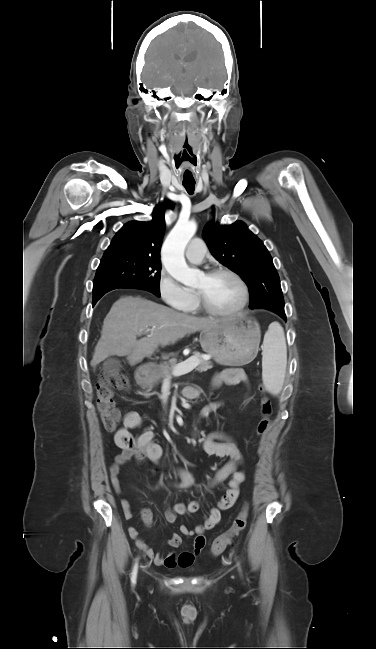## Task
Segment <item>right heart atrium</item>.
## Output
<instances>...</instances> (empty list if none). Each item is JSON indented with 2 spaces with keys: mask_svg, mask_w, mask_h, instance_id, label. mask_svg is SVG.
Masks as SVG:
<instances>
[{
  "mask_svg": "<svg viewBox=\"0 0 376 649\" xmlns=\"http://www.w3.org/2000/svg\"><path fill=\"white\" fill-rule=\"evenodd\" d=\"M157 288L161 299L175 309H182L191 296L190 291L179 284L165 269H161L159 273Z\"/></svg>",
  "mask_w": 376,
  "mask_h": 649,
  "instance_id": "d8ad5b80",
  "label": "right heart atrium"
}]
</instances>
